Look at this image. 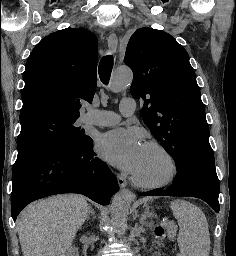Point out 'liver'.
<instances>
[{
  "mask_svg": "<svg viewBox=\"0 0 236 256\" xmlns=\"http://www.w3.org/2000/svg\"><path fill=\"white\" fill-rule=\"evenodd\" d=\"M90 206L83 196H54L21 212L18 236L23 256H69Z\"/></svg>",
  "mask_w": 236,
  "mask_h": 256,
  "instance_id": "liver-1",
  "label": "liver"
}]
</instances>
